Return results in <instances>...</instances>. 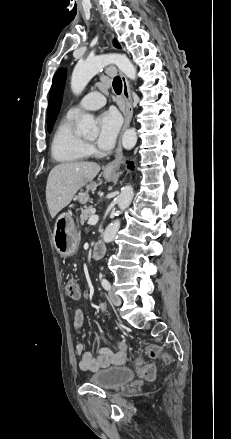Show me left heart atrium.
<instances>
[{
  "label": "left heart atrium",
  "mask_w": 231,
  "mask_h": 439,
  "mask_svg": "<svg viewBox=\"0 0 231 439\" xmlns=\"http://www.w3.org/2000/svg\"><path fill=\"white\" fill-rule=\"evenodd\" d=\"M97 145L101 150H110L121 127V118L114 110L103 112L97 119Z\"/></svg>",
  "instance_id": "obj_1"
}]
</instances>
